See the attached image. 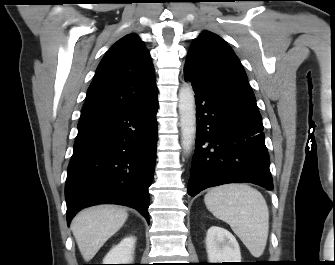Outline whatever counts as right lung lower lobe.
<instances>
[{"label": "right lung lower lobe", "instance_id": "right-lung-lower-lobe-1", "mask_svg": "<svg viewBox=\"0 0 335 265\" xmlns=\"http://www.w3.org/2000/svg\"><path fill=\"white\" fill-rule=\"evenodd\" d=\"M157 109L156 97L132 109L78 122L65 183L68 225L79 210L100 203L135 208L149 223Z\"/></svg>", "mask_w": 335, "mask_h": 265}]
</instances>
